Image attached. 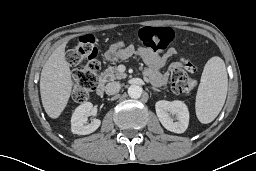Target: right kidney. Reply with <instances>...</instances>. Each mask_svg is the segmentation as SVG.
Masks as SVG:
<instances>
[{"label":"right kidney","mask_w":256,"mask_h":171,"mask_svg":"<svg viewBox=\"0 0 256 171\" xmlns=\"http://www.w3.org/2000/svg\"><path fill=\"white\" fill-rule=\"evenodd\" d=\"M93 109L91 102H85L78 106L71 117V131L78 135H87L97 130L101 124L99 119H94L87 124L86 114H89ZM87 124V125H86Z\"/></svg>","instance_id":"ca27d5eb"}]
</instances>
